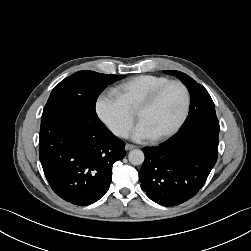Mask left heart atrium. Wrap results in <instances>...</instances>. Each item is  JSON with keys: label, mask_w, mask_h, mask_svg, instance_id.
I'll return each mask as SVG.
<instances>
[{"label": "left heart atrium", "mask_w": 251, "mask_h": 251, "mask_svg": "<svg viewBox=\"0 0 251 251\" xmlns=\"http://www.w3.org/2000/svg\"><path fill=\"white\" fill-rule=\"evenodd\" d=\"M130 137L136 141H144L153 138V135L142 122H139L130 133Z\"/></svg>", "instance_id": "39dd6f15"}]
</instances>
